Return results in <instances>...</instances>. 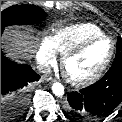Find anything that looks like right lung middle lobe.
<instances>
[{
    "instance_id": "dd1d6c3e",
    "label": "right lung middle lobe",
    "mask_w": 122,
    "mask_h": 122,
    "mask_svg": "<svg viewBox=\"0 0 122 122\" xmlns=\"http://www.w3.org/2000/svg\"><path fill=\"white\" fill-rule=\"evenodd\" d=\"M47 13L32 5H14L1 12V29L9 25L39 24Z\"/></svg>"
}]
</instances>
